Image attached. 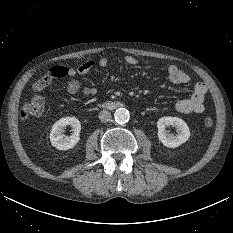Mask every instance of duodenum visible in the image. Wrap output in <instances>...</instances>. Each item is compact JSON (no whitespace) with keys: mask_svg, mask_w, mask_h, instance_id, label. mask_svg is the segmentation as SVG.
Masks as SVG:
<instances>
[{"mask_svg":"<svg viewBox=\"0 0 233 233\" xmlns=\"http://www.w3.org/2000/svg\"><path fill=\"white\" fill-rule=\"evenodd\" d=\"M119 106H120V103H117V102H112V103L107 104L108 108H117Z\"/></svg>","mask_w":233,"mask_h":233,"instance_id":"410a0bca","label":"duodenum"}]
</instances>
